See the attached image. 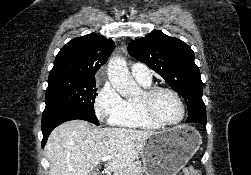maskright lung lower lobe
Instances as JSON below:
<instances>
[{
	"mask_svg": "<svg viewBox=\"0 0 251 175\" xmlns=\"http://www.w3.org/2000/svg\"><path fill=\"white\" fill-rule=\"evenodd\" d=\"M81 119L99 125L94 113L72 108L51 107L45 109L42 117V147H44L49 134L58 125L69 120Z\"/></svg>",
	"mask_w": 251,
	"mask_h": 175,
	"instance_id": "right-lung-lower-lobe-1",
	"label": "right lung lower lobe"
}]
</instances>
